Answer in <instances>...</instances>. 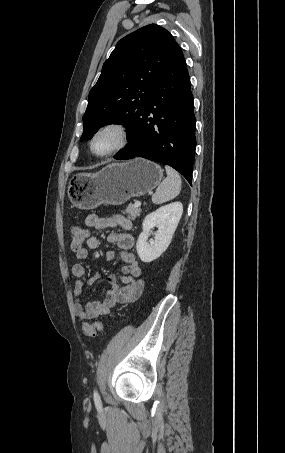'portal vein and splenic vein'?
<instances>
[{
  "label": "portal vein and splenic vein",
  "mask_w": 285,
  "mask_h": 453,
  "mask_svg": "<svg viewBox=\"0 0 285 453\" xmlns=\"http://www.w3.org/2000/svg\"><path fill=\"white\" fill-rule=\"evenodd\" d=\"M135 207H140L141 206V203L139 201L135 202L134 204Z\"/></svg>",
  "instance_id": "1"
}]
</instances>
